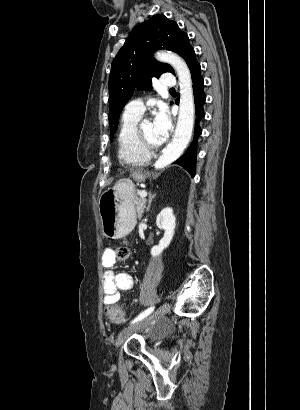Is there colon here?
Segmentation results:
<instances>
[{"mask_svg": "<svg viewBox=\"0 0 300 410\" xmlns=\"http://www.w3.org/2000/svg\"><path fill=\"white\" fill-rule=\"evenodd\" d=\"M113 252L115 258L120 262L126 261L130 253L129 248L127 246H117ZM107 316L112 322L115 323H121L125 319L123 310L117 306L108 308Z\"/></svg>", "mask_w": 300, "mask_h": 410, "instance_id": "colon-1", "label": "colon"}]
</instances>
